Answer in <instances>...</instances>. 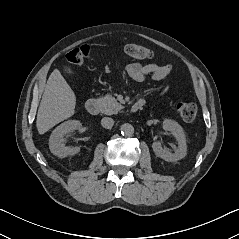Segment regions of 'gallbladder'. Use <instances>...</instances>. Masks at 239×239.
<instances>
[{"mask_svg":"<svg viewBox=\"0 0 239 239\" xmlns=\"http://www.w3.org/2000/svg\"><path fill=\"white\" fill-rule=\"evenodd\" d=\"M64 71L68 74H71L72 73V70L69 68V67H65L64 68Z\"/></svg>","mask_w":239,"mask_h":239,"instance_id":"1","label":"gallbladder"}]
</instances>
